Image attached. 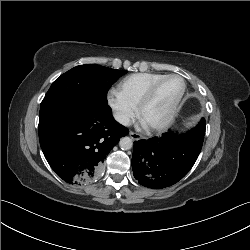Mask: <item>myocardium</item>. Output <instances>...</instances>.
Instances as JSON below:
<instances>
[{
	"label": "myocardium",
	"instance_id": "myocardium-1",
	"mask_svg": "<svg viewBox=\"0 0 250 250\" xmlns=\"http://www.w3.org/2000/svg\"><path fill=\"white\" fill-rule=\"evenodd\" d=\"M171 78H177V79L181 80L182 89H181L178 97L174 101L173 105L171 106L168 114L160 122H157L154 124H146V127L151 131H162V130L166 129L172 123V121L174 120L176 113L178 111L179 105L184 97L185 92H186V82H185L184 78L181 77L180 75H177V74L165 75V76L161 77L160 79L156 80L148 88V90L146 91V93L144 94V96L142 97L140 102L138 103V116L142 119L145 108L154 98L155 93H156L157 89L159 88V86L163 82H165L166 80L171 79Z\"/></svg>",
	"mask_w": 250,
	"mask_h": 250
}]
</instances>
